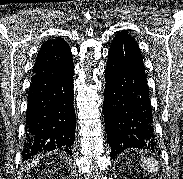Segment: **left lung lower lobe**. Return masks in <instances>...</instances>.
<instances>
[{
	"label": "left lung lower lobe",
	"mask_w": 183,
	"mask_h": 179,
	"mask_svg": "<svg viewBox=\"0 0 183 179\" xmlns=\"http://www.w3.org/2000/svg\"><path fill=\"white\" fill-rule=\"evenodd\" d=\"M104 120L112 159L128 148L154 150L153 115L137 42L118 33L108 52Z\"/></svg>",
	"instance_id": "obj_1"
}]
</instances>
